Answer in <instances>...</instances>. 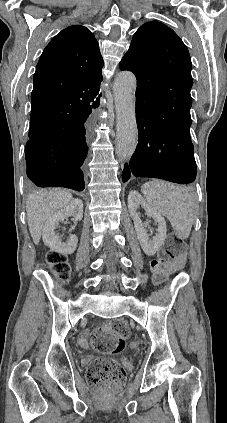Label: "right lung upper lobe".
I'll use <instances>...</instances> for the list:
<instances>
[{"label":"right lung upper lobe","instance_id":"right-lung-upper-lobe-1","mask_svg":"<svg viewBox=\"0 0 227 423\" xmlns=\"http://www.w3.org/2000/svg\"><path fill=\"white\" fill-rule=\"evenodd\" d=\"M103 59L94 35L81 25L57 34L44 49L34 74L31 103L99 99ZM64 122L44 120L30 124L29 138L41 139L61 129Z\"/></svg>","mask_w":227,"mask_h":423}]
</instances>
